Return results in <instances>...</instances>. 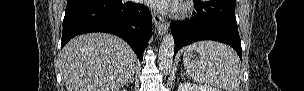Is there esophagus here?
<instances>
[{"mask_svg":"<svg viewBox=\"0 0 304 91\" xmlns=\"http://www.w3.org/2000/svg\"><path fill=\"white\" fill-rule=\"evenodd\" d=\"M153 21L155 23L156 31L158 35H163L167 32L169 28V22L166 21L163 17L157 14L155 11H152Z\"/></svg>","mask_w":304,"mask_h":91,"instance_id":"1","label":"esophagus"}]
</instances>
